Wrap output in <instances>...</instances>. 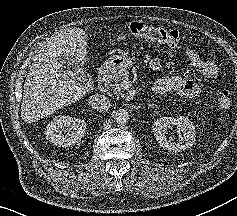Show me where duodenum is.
Returning <instances> with one entry per match:
<instances>
[{"mask_svg": "<svg viewBox=\"0 0 237 216\" xmlns=\"http://www.w3.org/2000/svg\"><path fill=\"white\" fill-rule=\"evenodd\" d=\"M113 82V75L111 71L104 69L99 73V84L100 86L107 88L111 86Z\"/></svg>", "mask_w": 237, "mask_h": 216, "instance_id": "obj_1", "label": "duodenum"}]
</instances>
